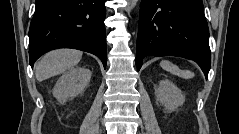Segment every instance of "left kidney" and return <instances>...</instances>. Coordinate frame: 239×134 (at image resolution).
<instances>
[{
	"instance_id": "obj_1",
	"label": "left kidney",
	"mask_w": 239,
	"mask_h": 134,
	"mask_svg": "<svg viewBox=\"0 0 239 134\" xmlns=\"http://www.w3.org/2000/svg\"><path fill=\"white\" fill-rule=\"evenodd\" d=\"M155 96L169 112L176 110L185 102V96L182 91L167 79L160 81L158 87L155 89Z\"/></svg>"
}]
</instances>
